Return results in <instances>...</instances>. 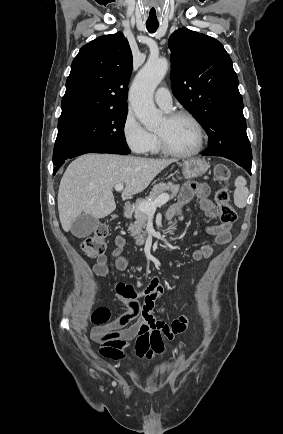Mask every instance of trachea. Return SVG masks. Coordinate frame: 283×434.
I'll use <instances>...</instances> for the list:
<instances>
[{
	"mask_svg": "<svg viewBox=\"0 0 283 434\" xmlns=\"http://www.w3.org/2000/svg\"><path fill=\"white\" fill-rule=\"evenodd\" d=\"M146 27H147V30H148L150 33H154V32H156V30L158 29L159 24H158V23L147 22V23H146Z\"/></svg>",
	"mask_w": 283,
	"mask_h": 434,
	"instance_id": "1",
	"label": "trachea"
}]
</instances>
